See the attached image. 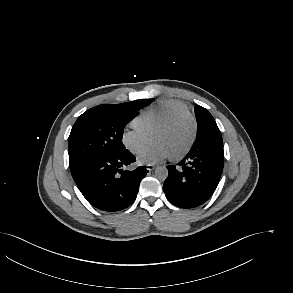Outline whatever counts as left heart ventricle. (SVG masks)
Instances as JSON below:
<instances>
[{
    "label": "left heart ventricle",
    "instance_id": "1",
    "mask_svg": "<svg viewBox=\"0 0 293 293\" xmlns=\"http://www.w3.org/2000/svg\"><path fill=\"white\" fill-rule=\"evenodd\" d=\"M191 135V122L188 119H183L167 130L154 133L152 136V142L164 144L173 156L187 147Z\"/></svg>",
    "mask_w": 293,
    "mask_h": 293
}]
</instances>
